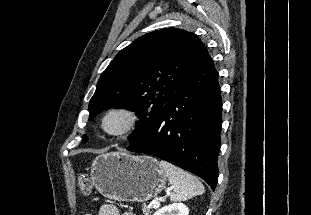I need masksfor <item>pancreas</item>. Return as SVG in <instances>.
<instances>
[{"label": "pancreas", "mask_w": 311, "mask_h": 215, "mask_svg": "<svg viewBox=\"0 0 311 215\" xmlns=\"http://www.w3.org/2000/svg\"><path fill=\"white\" fill-rule=\"evenodd\" d=\"M142 211H143V214H144V215H150V214L152 213V211L150 210V208H147V207H144V208L142 209Z\"/></svg>", "instance_id": "pancreas-1"}]
</instances>
